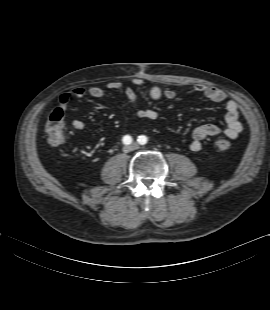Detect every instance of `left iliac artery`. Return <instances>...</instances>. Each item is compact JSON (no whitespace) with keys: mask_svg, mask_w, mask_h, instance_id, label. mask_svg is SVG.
<instances>
[{"mask_svg":"<svg viewBox=\"0 0 270 310\" xmlns=\"http://www.w3.org/2000/svg\"><path fill=\"white\" fill-rule=\"evenodd\" d=\"M137 141L141 144V145H144L147 143V137L144 136V135H141L138 137Z\"/></svg>","mask_w":270,"mask_h":310,"instance_id":"obj_1","label":"left iliac artery"}]
</instances>
